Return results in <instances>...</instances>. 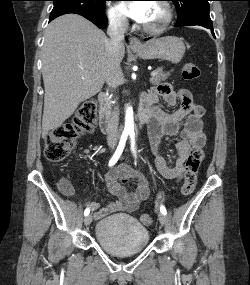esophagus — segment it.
<instances>
[{"label":"esophagus","instance_id":"1","mask_svg":"<svg viewBox=\"0 0 250 285\" xmlns=\"http://www.w3.org/2000/svg\"><path fill=\"white\" fill-rule=\"evenodd\" d=\"M130 47L133 50H139L143 48L141 41L137 37H132L130 39Z\"/></svg>","mask_w":250,"mask_h":285}]
</instances>
